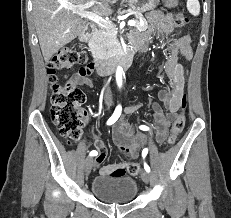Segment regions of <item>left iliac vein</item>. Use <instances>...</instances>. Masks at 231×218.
<instances>
[{
	"label": "left iliac vein",
	"mask_w": 231,
	"mask_h": 218,
	"mask_svg": "<svg viewBox=\"0 0 231 218\" xmlns=\"http://www.w3.org/2000/svg\"><path fill=\"white\" fill-rule=\"evenodd\" d=\"M141 178L145 183H148L150 181V174L147 171L141 172Z\"/></svg>",
	"instance_id": "4c4485c4"
}]
</instances>
